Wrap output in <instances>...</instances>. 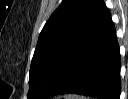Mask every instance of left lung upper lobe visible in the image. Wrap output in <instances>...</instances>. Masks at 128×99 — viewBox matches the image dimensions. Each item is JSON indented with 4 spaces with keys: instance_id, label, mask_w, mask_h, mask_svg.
<instances>
[{
    "instance_id": "obj_1",
    "label": "left lung upper lobe",
    "mask_w": 128,
    "mask_h": 99,
    "mask_svg": "<svg viewBox=\"0 0 128 99\" xmlns=\"http://www.w3.org/2000/svg\"><path fill=\"white\" fill-rule=\"evenodd\" d=\"M107 10L103 0H63L40 33L30 67L28 99H46L62 66Z\"/></svg>"
}]
</instances>
